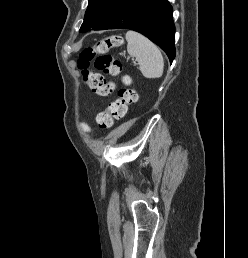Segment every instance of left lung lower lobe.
<instances>
[{
    "label": "left lung lower lobe",
    "instance_id": "left-lung-lower-lobe-1",
    "mask_svg": "<svg viewBox=\"0 0 248 258\" xmlns=\"http://www.w3.org/2000/svg\"><path fill=\"white\" fill-rule=\"evenodd\" d=\"M168 0H128L110 19L92 30L131 29L157 44L169 57L175 58V25Z\"/></svg>",
    "mask_w": 248,
    "mask_h": 258
}]
</instances>
